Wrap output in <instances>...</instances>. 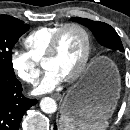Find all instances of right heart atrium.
Returning a JSON list of instances; mask_svg holds the SVG:
<instances>
[{
  "mask_svg": "<svg viewBox=\"0 0 130 130\" xmlns=\"http://www.w3.org/2000/svg\"><path fill=\"white\" fill-rule=\"evenodd\" d=\"M10 64L16 75L28 84H35L39 78L38 63L28 54L14 49L10 56Z\"/></svg>",
  "mask_w": 130,
  "mask_h": 130,
  "instance_id": "d8ad5b80",
  "label": "right heart atrium"
}]
</instances>
